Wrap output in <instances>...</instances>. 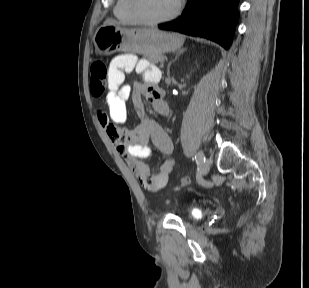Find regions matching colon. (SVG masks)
<instances>
[{
	"label": "colon",
	"instance_id": "obj_1",
	"mask_svg": "<svg viewBox=\"0 0 309 288\" xmlns=\"http://www.w3.org/2000/svg\"><path fill=\"white\" fill-rule=\"evenodd\" d=\"M108 69L104 62H94L90 67V89L94 96H101L107 87ZM190 184V179L183 177L180 183L173 188V192Z\"/></svg>",
	"mask_w": 309,
	"mask_h": 288
}]
</instances>
